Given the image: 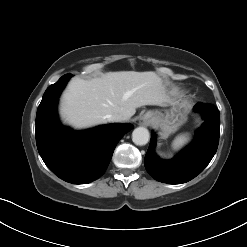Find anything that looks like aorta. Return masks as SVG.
I'll return each instance as SVG.
<instances>
[{
	"instance_id": "762f6f07",
	"label": "aorta",
	"mask_w": 247,
	"mask_h": 247,
	"mask_svg": "<svg viewBox=\"0 0 247 247\" xmlns=\"http://www.w3.org/2000/svg\"><path fill=\"white\" fill-rule=\"evenodd\" d=\"M149 138V131L145 127H138L132 133V141L139 146L146 145Z\"/></svg>"
}]
</instances>
